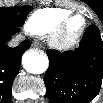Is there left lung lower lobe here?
<instances>
[{"label":"left lung lower lobe","mask_w":103,"mask_h":103,"mask_svg":"<svg viewBox=\"0 0 103 103\" xmlns=\"http://www.w3.org/2000/svg\"><path fill=\"white\" fill-rule=\"evenodd\" d=\"M47 55L44 83L51 103H89L96 97L103 81V41L97 26L86 29L74 51L49 49Z\"/></svg>","instance_id":"1"}]
</instances>
